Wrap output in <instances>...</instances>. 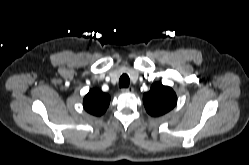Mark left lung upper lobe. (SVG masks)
Wrapping results in <instances>:
<instances>
[{"instance_id":"1","label":"left lung upper lobe","mask_w":249,"mask_h":165,"mask_svg":"<svg viewBox=\"0 0 249 165\" xmlns=\"http://www.w3.org/2000/svg\"><path fill=\"white\" fill-rule=\"evenodd\" d=\"M143 103L146 111L154 117L169 112L177 103V96L173 89L159 82L151 86L149 92L143 95Z\"/></svg>"}]
</instances>
